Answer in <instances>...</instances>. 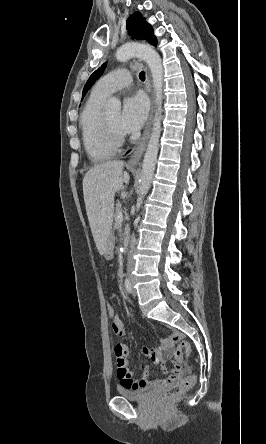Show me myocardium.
<instances>
[{
  "label": "myocardium",
  "mask_w": 266,
  "mask_h": 444,
  "mask_svg": "<svg viewBox=\"0 0 266 444\" xmlns=\"http://www.w3.org/2000/svg\"><path fill=\"white\" fill-rule=\"evenodd\" d=\"M101 132L105 141L114 148L120 147L125 142V134L115 133L105 114H103L101 119Z\"/></svg>",
  "instance_id": "1"
}]
</instances>
